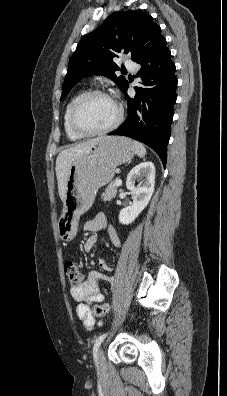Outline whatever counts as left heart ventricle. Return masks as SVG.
I'll return each mask as SVG.
<instances>
[{"instance_id": "b2bd125f", "label": "left heart ventricle", "mask_w": 227, "mask_h": 396, "mask_svg": "<svg viewBox=\"0 0 227 396\" xmlns=\"http://www.w3.org/2000/svg\"><path fill=\"white\" fill-rule=\"evenodd\" d=\"M116 104L104 96H91L81 105L79 123L88 130H99L109 126L117 117Z\"/></svg>"}]
</instances>
